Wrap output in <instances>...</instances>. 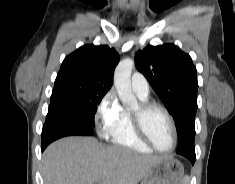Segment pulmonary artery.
Returning a JSON list of instances; mask_svg holds the SVG:
<instances>
[{"label":"pulmonary artery","mask_w":235,"mask_h":184,"mask_svg":"<svg viewBox=\"0 0 235 184\" xmlns=\"http://www.w3.org/2000/svg\"><path fill=\"white\" fill-rule=\"evenodd\" d=\"M131 85L133 90L142 99H147L149 96V84L147 79L141 73H134L131 76Z\"/></svg>","instance_id":"e3ab8cb5"}]
</instances>
